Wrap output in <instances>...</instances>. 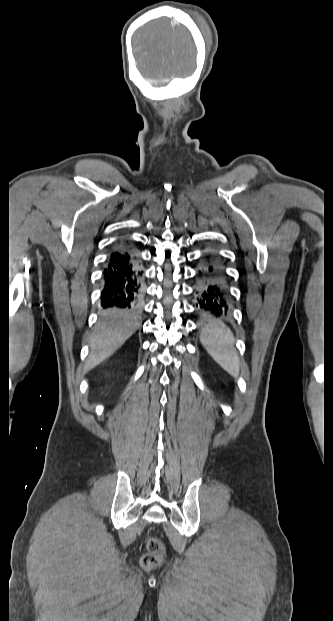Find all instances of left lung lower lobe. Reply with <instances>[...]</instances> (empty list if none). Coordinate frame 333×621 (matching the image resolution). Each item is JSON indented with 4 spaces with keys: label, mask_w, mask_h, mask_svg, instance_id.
Instances as JSON below:
<instances>
[{
    "label": "left lung lower lobe",
    "mask_w": 333,
    "mask_h": 621,
    "mask_svg": "<svg viewBox=\"0 0 333 621\" xmlns=\"http://www.w3.org/2000/svg\"><path fill=\"white\" fill-rule=\"evenodd\" d=\"M194 298L202 315L225 316L229 313L226 276L219 254L215 250L201 257L196 271Z\"/></svg>",
    "instance_id": "obj_1"
}]
</instances>
